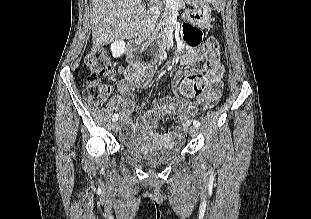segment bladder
Returning a JSON list of instances; mask_svg holds the SVG:
<instances>
[{"label": "bladder", "instance_id": "1", "mask_svg": "<svg viewBox=\"0 0 311 219\" xmlns=\"http://www.w3.org/2000/svg\"><path fill=\"white\" fill-rule=\"evenodd\" d=\"M124 147L130 154L149 162L171 160L177 157L182 151L180 144L154 147L143 141L127 142L124 144Z\"/></svg>", "mask_w": 311, "mask_h": 219}]
</instances>
